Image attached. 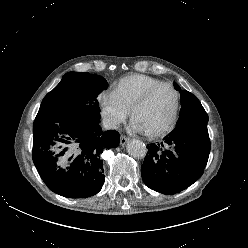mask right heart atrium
Listing matches in <instances>:
<instances>
[{
    "label": "right heart atrium",
    "instance_id": "d8ad5b80",
    "mask_svg": "<svg viewBox=\"0 0 248 248\" xmlns=\"http://www.w3.org/2000/svg\"><path fill=\"white\" fill-rule=\"evenodd\" d=\"M101 114L107 124L112 128H117L123 124L129 112L118 102L112 92H103L99 96Z\"/></svg>",
    "mask_w": 248,
    "mask_h": 248
}]
</instances>
